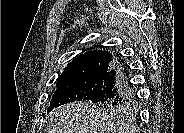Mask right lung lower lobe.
Masks as SVG:
<instances>
[{"label":"right lung lower lobe","mask_w":184,"mask_h":133,"mask_svg":"<svg viewBox=\"0 0 184 133\" xmlns=\"http://www.w3.org/2000/svg\"><path fill=\"white\" fill-rule=\"evenodd\" d=\"M103 83L102 90L91 100L93 103L116 105L136 103L137 96L129 81L127 67L119 55L114 56L108 71L104 73Z\"/></svg>","instance_id":"right-lung-lower-lobe-1"}]
</instances>
